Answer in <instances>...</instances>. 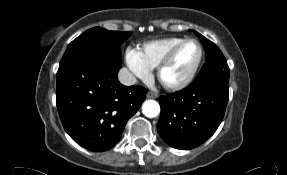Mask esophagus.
Here are the masks:
<instances>
[{"mask_svg":"<svg viewBox=\"0 0 287 175\" xmlns=\"http://www.w3.org/2000/svg\"><path fill=\"white\" fill-rule=\"evenodd\" d=\"M146 96H147V98H157L158 94L155 92L149 91Z\"/></svg>","mask_w":287,"mask_h":175,"instance_id":"esophagus-1","label":"esophagus"}]
</instances>
